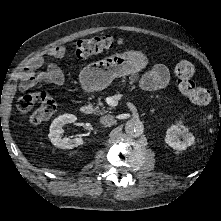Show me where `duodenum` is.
Returning <instances> with one entry per match:
<instances>
[{"instance_id":"1","label":"duodenum","mask_w":221,"mask_h":221,"mask_svg":"<svg viewBox=\"0 0 221 221\" xmlns=\"http://www.w3.org/2000/svg\"><path fill=\"white\" fill-rule=\"evenodd\" d=\"M79 110L82 114H89L91 112V108L88 105L81 106Z\"/></svg>"}]
</instances>
